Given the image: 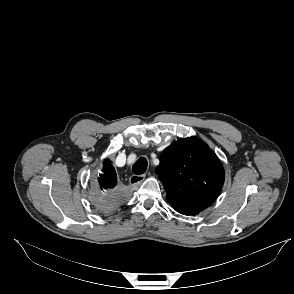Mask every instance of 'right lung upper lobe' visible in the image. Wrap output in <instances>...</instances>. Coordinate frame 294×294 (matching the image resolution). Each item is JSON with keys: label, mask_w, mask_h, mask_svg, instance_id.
Returning <instances> with one entry per match:
<instances>
[{"label": "right lung upper lobe", "mask_w": 294, "mask_h": 294, "mask_svg": "<svg viewBox=\"0 0 294 294\" xmlns=\"http://www.w3.org/2000/svg\"><path fill=\"white\" fill-rule=\"evenodd\" d=\"M100 187L103 189H111L117 184V175L110 160L103 162V170L98 178Z\"/></svg>", "instance_id": "1"}]
</instances>
